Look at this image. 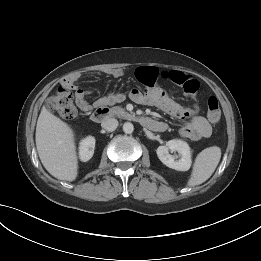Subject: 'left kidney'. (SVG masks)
I'll list each match as a JSON object with an SVG mask.
<instances>
[{
	"label": "left kidney",
	"mask_w": 261,
	"mask_h": 261,
	"mask_svg": "<svg viewBox=\"0 0 261 261\" xmlns=\"http://www.w3.org/2000/svg\"><path fill=\"white\" fill-rule=\"evenodd\" d=\"M169 151H177L180 158L175 160L176 157L171 155ZM156 153L160 161L169 168L178 171H187L191 167V151L185 141L179 139L170 140L165 145L159 146Z\"/></svg>",
	"instance_id": "1"
}]
</instances>
